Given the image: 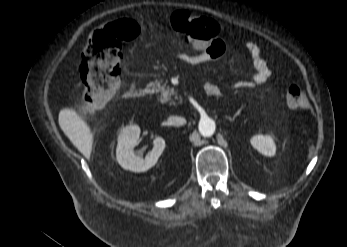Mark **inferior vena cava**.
<instances>
[{"mask_svg":"<svg viewBox=\"0 0 347 247\" xmlns=\"http://www.w3.org/2000/svg\"><path fill=\"white\" fill-rule=\"evenodd\" d=\"M168 123L170 125H174V126H180V125H184L186 123L185 119L182 117H169L168 119Z\"/></svg>","mask_w":347,"mask_h":247,"instance_id":"obj_1","label":"inferior vena cava"}]
</instances>
